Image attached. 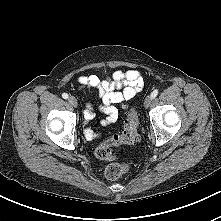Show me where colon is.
I'll return each mask as SVG.
<instances>
[{"mask_svg": "<svg viewBox=\"0 0 221 221\" xmlns=\"http://www.w3.org/2000/svg\"><path fill=\"white\" fill-rule=\"evenodd\" d=\"M138 128V114L135 109L129 108L121 132L104 139L95 150L96 157L105 161L114 160L113 148L120 145L134 144L139 138ZM127 169L128 166L125 164L111 163L105 169V176L109 180H117Z\"/></svg>", "mask_w": 221, "mask_h": 221, "instance_id": "colon-1", "label": "colon"}]
</instances>
